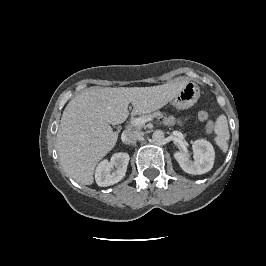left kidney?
I'll use <instances>...</instances> for the list:
<instances>
[{
  "instance_id": "5707ae66",
  "label": "left kidney",
  "mask_w": 266,
  "mask_h": 266,
  "mask_svg": "<svg viewBox=\"0 0 266 266\" xmlns=\"http://www.w3.org/2000/svg\"><path fill=\"white\" fill-rule=\"evenodd\" d=\"M193 158L191 161L187 154L175 152L174 157L182 170L193 175H200L210 171L214 164L215 152L207 140L201 139L193 142Z\"/></svg>"
}]
</instances>
